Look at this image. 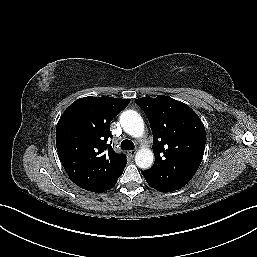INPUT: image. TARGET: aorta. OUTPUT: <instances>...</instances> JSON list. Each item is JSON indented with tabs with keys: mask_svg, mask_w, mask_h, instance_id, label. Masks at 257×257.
I'll list each match as a JSON object with an SVG mask.
<instances>
[{
	"mask_svg": "<svg viewBox=\"0 0 257 257\" xmlns=\"http://www.w3.org/2000/svg\"><path fill=\"white\" fill-rule=\"evenodd\" d=\"M120 123L124 131L130 136L139 138L144 133V121L134 110L124 111L120 116ZM154 161L153 152L148 148H141L135 156V163L141 169H149Z\"/></svg>",
	"mask_w": 257,
	"mask_h": 257,
	"instance_id": "1",
	"label": "aorta"
}]
</instances>
